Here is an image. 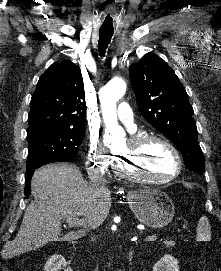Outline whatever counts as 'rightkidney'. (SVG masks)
Listing matches in <instances>:
<instances>
[{
  "instance_id": "ca27d5eb",
  "label": "right kidney",
  "mask_w": 221,
  "mask_h": 271,
  "mask_svg": "<svg viewBox=\"0 0 221 271\" xmlns=\"http://www.w3.org/2000/svg\"><path fill=\"white\" fill-rule=\"evenodd\" d=\"M44 269L45 271H60V269H64V271H73L72 267L66 263L65 257L60 255V253L50 255L44 265Z\"/></svg>"
}]
</instances>
